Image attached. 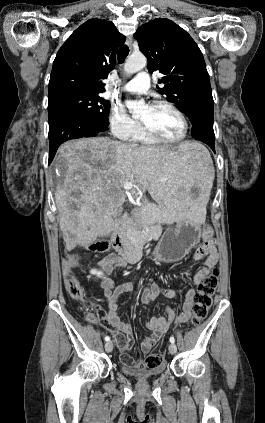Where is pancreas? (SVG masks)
<instances>
[{
	"mask_svg": "<svg viewBox=\"0 0 265 423\" xmlns=\"http://www.w3.org/2000/svg\"><path fill=\"white\" fill-rule=\"evenodd\" d=\"M162 228L160 224L146 227L145 225H131L127 229V236L133 245L143 244L153 238L155 234H159Z\"/></svg>",
	"mask_w": 265,
	"mask_h": 423,
	"instance_id": "pancreas-1",
	"label": "pancreas"
}]
</instances>
